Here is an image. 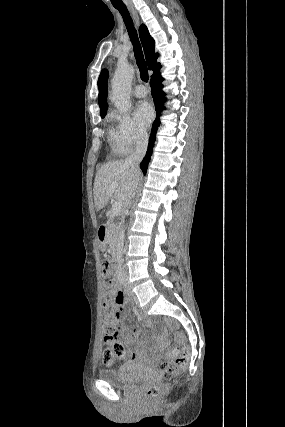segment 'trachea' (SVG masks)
Segmentation results:
<instances>
[{"instance_id":"trachea-1","label":"trachea","mask_w":285,"mask_h":427,"mask_svg":"<svg viewBox=\"0 0 285 427\" xmlns=\"http://www.w3.org/2000/svg\"><path fill=\"white\" fill-rule=\"evenodd\" d=\"M123 17L125 26L127 28L130 40L133 45V50L136 58V62L140 71L141 79L144 82H148V69L147 64L143 57L142 48L138 39L137 31L133 25V21L130 17V14L127 10V7H115Z\"/></svg>"}]
</instances>
